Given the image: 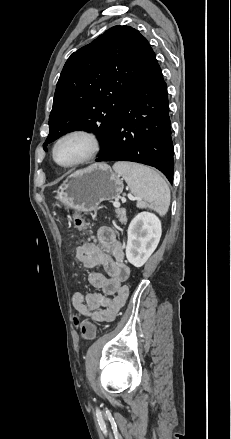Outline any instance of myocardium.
Wrapping results in <instances>:
<instances>
[{
    "instance_id": "f54148a6",
    "label": "myocardium",
    "mask_w": 231,
    "mask_h": 439,
    "mask_svg": "<svg viewBox=\"0 0 231 439\" xmlns=\"http://www.w3.org/2000/svg\"><path fill=\"white\" fill-rule=\"evenodd\" d=\"M72 136L85 137L86 139L89 140V142L91 144V148H90L89 152L81 159H79L75 162L69 163V164H61L57 160V157H56L57 148L63 140H65L69 137H72ZM101 147H102L101 139L94 131L89 130V129H85V128H76V129H72V130H69V131L63 133L62 135H60L57 138V140L55 141L53 148H52V157H53L54 162L58 166L63 167V168H73V167H77V166L84 164V163L92 160L93 158H95L99 154Z\"/></svg>"
}]
</instances>
